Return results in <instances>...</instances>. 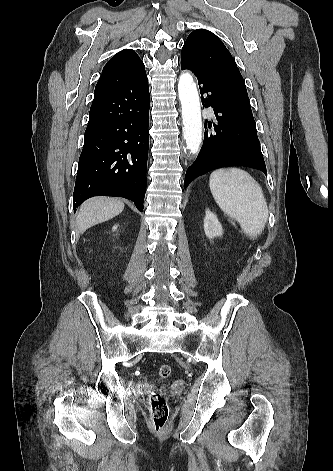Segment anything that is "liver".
<instances>
[{"mask_svg": "<svg viewBox=\"0 0 333 471\" xmlns=\"http://www.w3.org/2000/svg\"><path fill=\"white\" fill-rule=\"evenodd\" d=\"M123 209V201L117 198L95 197L87 200L77 216V232L82 234L92 226L119 215Z\"/></svg>", "mask_w": 333, "mask_h": 471, "instance_id": "1", "label": "liver"}]
</instances>
